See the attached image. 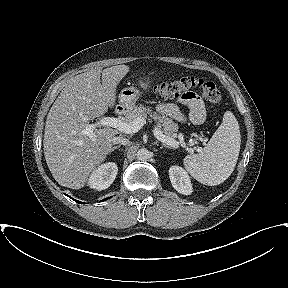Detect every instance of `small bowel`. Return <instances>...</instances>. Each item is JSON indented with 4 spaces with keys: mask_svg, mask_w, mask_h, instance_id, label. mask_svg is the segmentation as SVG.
Returning a JSON list of instances; mask_svg holds the SVG:
<instances>
[{
    "mask_svg": "<svg viewBox=\"0 0 288 288\" xmlns=\"http://www.w3.org/2000/svg\"><path fill=\"white\" fill-rule=\"evenodd\" d=\"M178 103H181L189 108L190 119L193 123L200 124L204 121V106L202 100L195 93L188 92L184 96L180 97ZM178 103H162L158 105L157 109L160 113L182 122L185 118L179 109Z\"/></svg>",
    "mask_w": 288,
    "mask_h": 288,
    "instance_id": "1",
    "label": "small bowel"
}]
</instances>
